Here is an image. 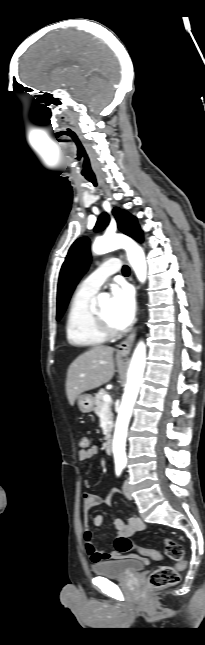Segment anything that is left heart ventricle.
Wrapping results in <instances>:
<instances>
[{"label": "left heart ventricle", "instance_id": "left-heart-ventricle-1", "mask_svg": "<svg viewBox=\"0 0 205 645\" xmlns=\"http://www.w3.org/2000/svg\"><path fill=\"white\" fill-rule=\"evenodd\" d=\"M99 312L102 314V316L107 320L109 324H111L113 327L117 328L115 325L114 319H113V314H112V307L110 302H106L98 307Z\"/></svg>", "mask_w": 205, "mask_h": 645}]
</instances>
